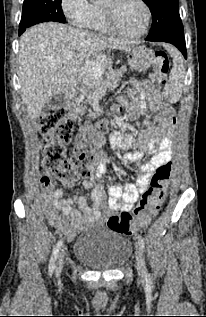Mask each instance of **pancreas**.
Instances as JSON below:
<instances>
[{"instance_id": "cf45deb5", "label": "pancreas", "mask_w": 206, "mask_h": 317, "mask_svg": "<svg viewBox=\"0 0 206 317\" xmlns=\"http://www.w3.org/2000/svg\"><path fill=\"white\" fill-rule=\"evenodd\" d=\"M126 71V67H122L120 69H113L110 75H104V77L99 80V83H96L95 86L82 87L80 91V95L86 97L84 102L93 103L96 98L103 96L105 93H114L115 88H117L121 82V77ZM74 107V111L78 114H84L87 109L86 105H80L78 102V98L75 99L71 104Z\"/></svg>"}]
</instances>
